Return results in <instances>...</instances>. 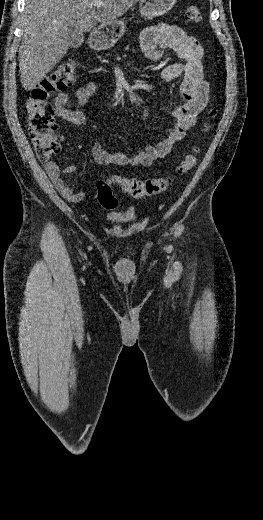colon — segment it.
I'll list each match as a JSON object with an SVG mask.
<instances>
[{
    "mask_svg": "<svg viewBox=\"0 0 263 520\" xmlns=\"http://www.w3.org/2000/svg\"><path fill=\"white\" fill-rule=\"evenodd\" d=\"M201 12L197 6H189L185 11L188 22L201 21ZM76 79V67L73 62L59 65L51 71L37 86H35L26 102V121L29 137L34 146L36 155L41 162H48L61 149L56 136L55 110L49 103L50 97L58 91H65L71 87ZM215 110L210 111L214 116ZM198 150L188 154L177 166L176 173L183 175L192 170L198 161ZM172 184V177L156 178H129L112 176L108 180H100L96 184L97 198L100 205L113 210L118 206V200L112 186L117 185L124 193L132 198H144L160 194Z\"/></svg>",
    "mask_w": 263,
    "mask_h": 520,
    "instance_id": "5ec220e1",
    "label": "colon"
}]
</instances>
